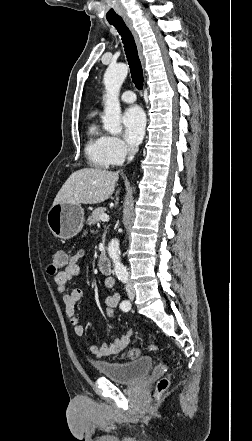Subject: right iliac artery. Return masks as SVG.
Segmentation results:
<instances>
[{
    "instance_id": "82829eb1",
    "label": "right iliac artery",
    "mask_w": 252,
    "mask_h": 441,
    "mask_svg": "<svg viewBox=\"0 0 252 441\" xmlns=\"http://www.w3.org/2000/svg\"><path fill=\"white\" fill-rule=\"evenodd\" d=\"M124 282H126V281H124ZM128 304H131L130 301H129V300H124V301H122V303L120 304V308H121L124 312H127L126 307H127Z\"/></svg>"
}]
</instances>
